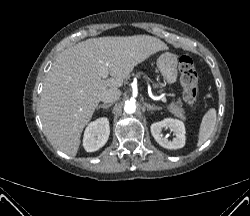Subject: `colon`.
Returning a JSON list of instances; mask_svg holds the SVG:
<instances>
[{
  "label": "colon",
  "instance_id": "colon-1",
  "mask_svg": "<svg viewBox=\"0 0 250 216\" xmlns=\"http://www.w3.org/2000/svg\"><path fill=\"white\" fill-rule=\"evenodd\" d=\"M179 72L183 99L190 107L194 108L199 92L198 74L194 62L189 56H182L179 59Z\"/></svg>",
  "mask_w": 250,
  "mask_h": 216
}]
</instances>
